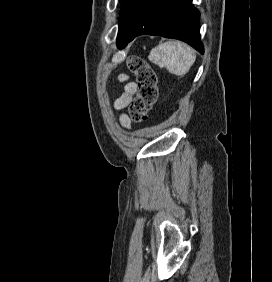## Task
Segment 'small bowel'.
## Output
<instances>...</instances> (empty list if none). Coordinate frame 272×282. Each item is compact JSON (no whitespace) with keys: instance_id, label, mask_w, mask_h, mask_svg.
Returning <instances> with one entry per match:
<instances>
[{"instance_id":"1","label":"small bowel","mask_w":272,"mask_h":282,"mask_svg":"<svg viewBox=\"0 0 272 282\" xmlns=\"http://www.w3.org/2000/svg\"><path fill=\"white\" fill-rule=\"evenodd\" d=\"M119 79L125 81V84L122 93L114 102V107L119 111H123L131 103L137 90V84L134 81L128 80V77L125 75H120ZM119 121L124 127L131 126L130 118L124 112L120 114Z\"/></svg>"}]
</instances>
